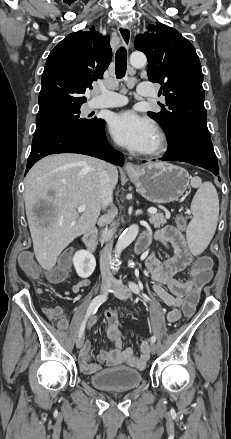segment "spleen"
<instances>
[{
    "label": "spleen",
    "mask_w": 231,
    "mask_h": 439,
    "mask_svg": "<svg viewBox=\"0 0 231 439\" xmlns=\"http://www.w3.org/2000/svg\"><path fill=\"white\" fill-rule=\"evenodd\" d=\"M191 211L194 217L187 227V241L192 254L199 255L212 240L219 216L218 194L211 182L206 181L199 187Z\"/></svg>",
    "instance_id": "1"
}]
</instances>
